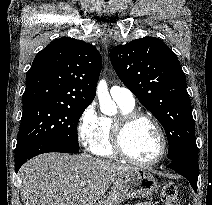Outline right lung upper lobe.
<instances>
[{
    "label": "right lung upper lobe",
    "mask_w": 212,
    "mask_h": 205,
    "mask_svg": "<svg viewBox=\"0 0 212 205\" xmlns=\"http://www.w3.org/2000/svg\"><path fill=\"white\" fill-rule=\"evenodd\" d=\"M101 67V55L93 45L69 37L56 39L36 55L22 101L89 105Z\"/></svg>",
    "instance_id": "obj_1"
}]
</instances>
